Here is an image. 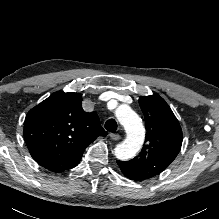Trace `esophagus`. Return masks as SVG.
Returning <instances> with one entry per match:
<instances>
[{
	"instance_id": "obj_1",
	"label": "esophagus",
	"mask_w": 219,
	"mask_h": 219,
	"mask_svg": "<svg viewBox=\"0 0 219 219\" xmlns=\"http://www.w3.org/2000/svg\"><path fill=\"white\" fill-rule=\"evenodd\" d=\"M109 136H110L111 140H114V141H118L121 138V136L117 133H110Z\"/></svg>"
}]
</instances>
